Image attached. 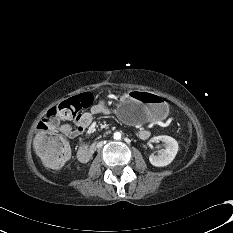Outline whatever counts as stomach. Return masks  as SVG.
Returning a JSON list of instances; mask_svg holds the SVG:
<instances>
[{"mask_svg":"<svg viewBox=\"0 0 233 233\" xmlns=\"http://www.w3.org/2000/svg\"><path fill=\"white\" fill-rule=\"evenodd\" d=\"M116 113L124 123L140 124L165 119L169 114V108L160 96L147 91L135 90L122 98Z\"/></svg>","mask_w":233,"mask_h":233,"instance_id":"0dacf381","label":"stomach"}]
</instances>
